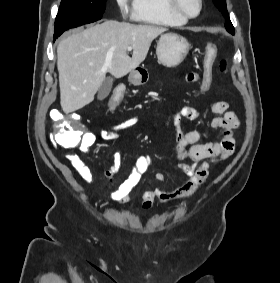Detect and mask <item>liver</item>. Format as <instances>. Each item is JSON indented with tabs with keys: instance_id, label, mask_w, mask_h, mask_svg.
I'll list each match as a JSON object with an SVG mask.
<instances>
[{
	"instance_id": "1",
	"label": "liver",
	"mask_w": 280,
	"mask_h": 283,
	"mask_svg": "<svg viewBox=\"0 0 280 283\" xmlns=\"http://www.w3.org/2000/svg\"><path fill=\"white\" fill-rule=\"evenodd\" d=\"M165 27L108 20L63 39L57 47L60 104L64 113L91 103L109 72L121 78L146 58ZM133 48L132 57L127 47Z\"/></svg>"
}]
</instances>
